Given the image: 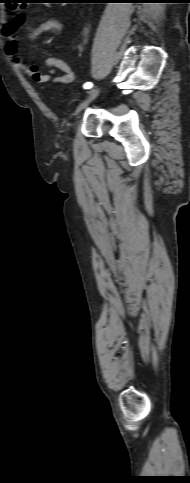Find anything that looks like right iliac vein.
<instances>
[{
	"label": "right iliac vein",
	"instance_id": "right-iliac-vein-1",
	"mask_svg": "<svg viewBox=\"0 0 190 483\" xmlns=\"http://www.w3.org/2000/svg\"><path fill=\"white\" fill-rule=\"evenodd\" d=\"M99 92L98 89H93V90H89L86 94V97L79 103V105L77 106L76 108V111H75V116L77 117L79 115V113L82 111V109L89 103V101L95 96L97 95Z\"/></svg>",
	"mask_w": 190,
	"mask_h": 483
}]
</instances>
